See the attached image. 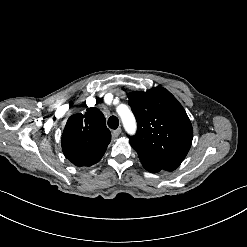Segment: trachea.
<instances>
[{"mask_svg": "<svg viewBox=\"0 0 247 247\" xmlns=\"http://www.w3.org/2000/svg\"><path fill=\"white\" fill-rule=\"evenodd\" d=\"M108 126L111 128V129H117L118 126H119V120L117 117L115 116H111L109 119H108Z\"/></svg>", "mask_w": 247, "mask_h": 247, "instance_id": "obj_1", "label": "trachea"}]
</instances>
